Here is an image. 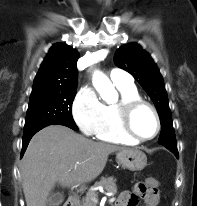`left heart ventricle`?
<instances>
[{
    "instance_id": "obj_1",
    "label": "left heart ventricle",
    "mask_w": 197,
    "mask_h": 206,
    "mask_svg": "<svg viewBox=\"0 0 197 206\" xmlns=\"http://www.w3.org/2000/svg\"><path fill=\"white\" fill-rule=\"evenodd\" d=\"M132 126L141 137H150L155 133L156 121L152 112L145 107L137 110L133 116Z\"/></svg>"
}]
</instances>
